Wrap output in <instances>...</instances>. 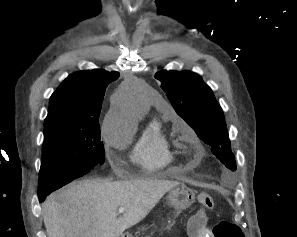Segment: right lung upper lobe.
<instances>
[{
	"label": "right lung upper lobe",
	"mask_w": 297,
	"mask_h": 237,
	"mask_svg": "<svg viewBox=\"0 0 297 237\" xmlns=\"http://www.w3.org/2000/svg\"><path fill=\"white\" fill-rule=\"evenodd\" d=\"M119 77L103 69L68 76L51 95L44 126L58 121H99L106 87Z\"/></svg>",
	"instance_id": "right-lung-upper-lobe-1"
}]
</instances>
